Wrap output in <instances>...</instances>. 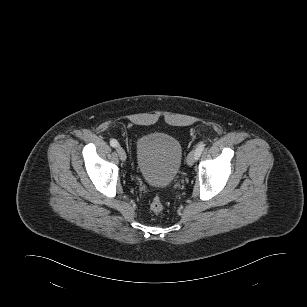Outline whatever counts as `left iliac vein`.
<instances>
[{
  "mask_svg": "<svg viewBox=\"0 0 307 307\" xmlns=\"http://www.w3.org/2000/svg\"><path fill=\"white\" fill-rule=\"evenodd\" d=\"M196 158H197V156H196L195 151H191V152L188 154L187 159H186L187 164H188L189 166H192L193 163L196 161Z\"/></svg>",
  "mask_w": 307,
  "mask_h": 307,
  "instance_id": "4c4485c4",
  "label": "left iliac vein"
}]
</instances>
